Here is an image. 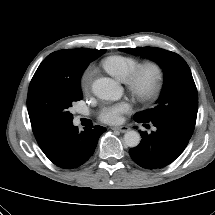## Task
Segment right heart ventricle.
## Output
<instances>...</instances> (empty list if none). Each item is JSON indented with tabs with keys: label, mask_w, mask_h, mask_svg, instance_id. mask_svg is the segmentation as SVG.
<instances>
[{
	"label": "right heart ventricle",
	"mask_w": 215,
	"mask_h": 215,
	"mask_svg": "<svg viewBox=\"0 0 215 215\" xmlns=\"http://www.w3.org/2000/svg\"><path fill=\"white\" fill-rule=\"evenodd\" d=\"M138 64L137 58L127 55H111L102 60L105 71L120 81H125Z\"/></svg>",
	"instance_id": "obj_1"
}]
</instances>
